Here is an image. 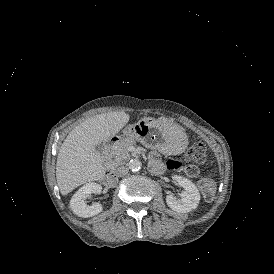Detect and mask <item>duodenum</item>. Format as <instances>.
I'll list each match as a JSON object with an SVG mask.
<instances>
[{
  "label": "duodenum",
  "instance_id": "duodenum-1",
  "mask_svg": "<svg viewBox=\"0 0 274 274\" xmlns=\"http://www.w3.org/2000/svg\"><path fill=\"white\" fill-rule=\"evenodd\" d=\"M118 141V138L117 137H112L110 139L107 140L106 144H105V148H104V160H105V164L107 166V170H106V173H105V177L108 179V180H111L115 177V172L114 170L111 168V165H110V162L108 160V153H109V150H110V147Z\"/></svg>",
  "mask_w": 274,
  "mask_h": 274
}]
</instances>
